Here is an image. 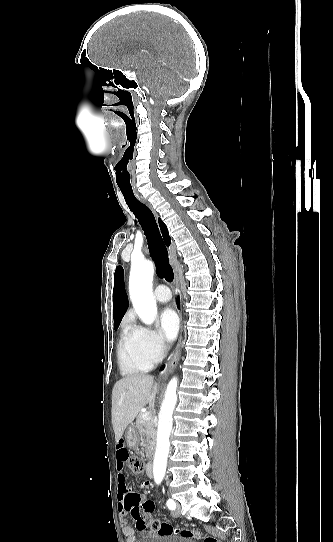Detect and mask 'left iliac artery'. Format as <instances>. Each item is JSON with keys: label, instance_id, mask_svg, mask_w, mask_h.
Instances as JSON below:
<instances>
[{"label": "left iliac artery", "instance_id": "left-iliac-artery-1", "mask_svg": "<svg viewBox=\"0 0 333 542\" xmlns=\"http://www.w3.org/2000/svg\"><path fill=\"white\" fill-rule=\"evenodd\" d=\"M167 506H168L169 509H172V510L176 508V504L172 499H169L167 501Z\"/></svg>", "mask_w": 333, "mask_h": 542}]
</instances>
